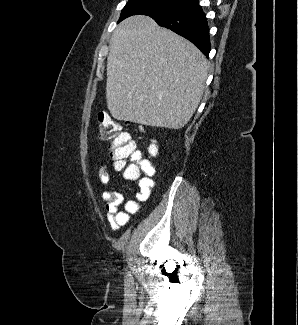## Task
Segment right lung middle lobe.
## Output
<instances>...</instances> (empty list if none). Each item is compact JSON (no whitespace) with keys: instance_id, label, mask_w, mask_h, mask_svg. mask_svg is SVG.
<instances>
[{"instance_id":"right-lung-middle-lobe-1","label":"right lung middle lobe","mask_w":298,"mask_h":325,"mask_svg":"<svg viewBox=\"0 0 298 325\" xmlns=\"http://www.w3.org/2000/svg\"><path fill=\"white\" fill-rule=\"evenodd\" d=\"M194 0H129L122 10L120 20L131 15L158 16L181 9Z\"/></svg>"}]
</instances>
